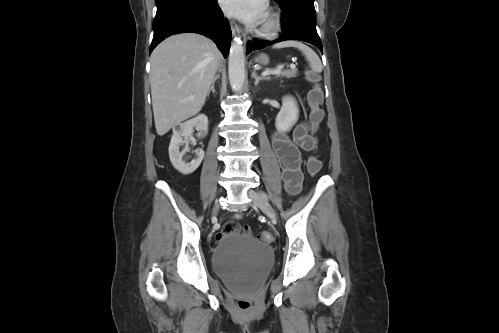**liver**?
Wrapping results in <instances>:
<instances>
[{
    "label": "liver",
    "mask_w": 499,
    "mask_h": 333,
    "mask_svg": "<svg viewBox=\"0 0 499 333\" xmlns=\"http://www.w3.org/2000/svg\"><path fill=\"white\" fill-rule=\"evenodd\" d=\"M220 58L216 45L195 33L173 35L155 48L150 57V85L159 136L199 113Z\"/></svg>",
    "instance_id": "6515ba94"
}]
</instances>
